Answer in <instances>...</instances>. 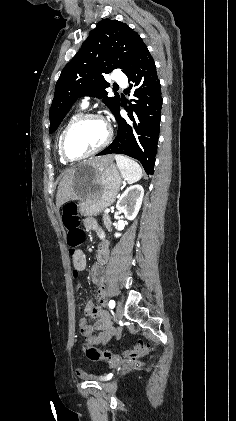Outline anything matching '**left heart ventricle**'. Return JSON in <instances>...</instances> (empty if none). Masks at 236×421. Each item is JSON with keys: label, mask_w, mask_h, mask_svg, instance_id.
I'll return each mask as SVG.
<instances>
[{"label": "left heart ventricle", "mask_w": 236, "mask_h": 421, "mask_svg": "<svg viewBox=\"0 0 236 421\" xmlns=\"http://www.w3.org/2000/svg\"><path fill=\"white\" fill-rule=\"evenodd\" d=\"M106 134L104 122L97 119L85 120L69 133L67 150L72 156H82L98 147L105 140Z\"/></svg>", "instance_id": "b2bd125f"}]
</instances>
